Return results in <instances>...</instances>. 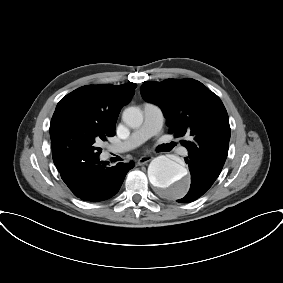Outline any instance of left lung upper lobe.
<instances>
[{"instance_id":"5c2ea615","label":"left lung upper lobe","mask_w":283,"mask_h":283,"mask_svg":"<svg viewBox=\"0 0 283 283\" xmlns=\"http://www.w3.org/2000/svg\"><path fill=\"white\" fill-rule=\"evenodd\" d=\"M141 94L162 108L175 136L189 137L180 141L188 157L206 168L222 170L231 131L227 111L216 94L194 79L145 82Z\"/></svg>"}]
</instances>
